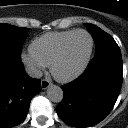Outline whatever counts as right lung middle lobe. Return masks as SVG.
I'll return each mask as SVG.
<instances>
[{"label": "right lung middle lobe", "mask_w": 128, "mask_h": 128, "mask_svg": "<svg viewBox=\"0 0 128 128\" xmlns=\"http://www.w3.org/2000/svg\"><path fill=\"white\" fill-rule=\"evenodd\" d=\"M28 28L0 24V53L21 60L20 52L28 36Z\"/></svg>", "instance_id": "dd1d6c3e"}]
</instances>
